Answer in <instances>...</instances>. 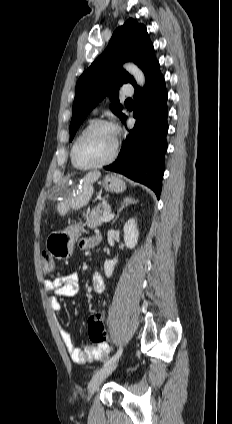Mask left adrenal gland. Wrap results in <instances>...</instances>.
Returning <instances> with one entry per match:
<instances>
[{"mask_svg": "<svg viewBox=\"0 0 232 424\" xmlns=\"http://www.w3.org/2000/svg\"><path fill=\"white\" fill-rule=\"evenodd\" d=\"M138 203V200H135V199H133V198H131V197H125L124 199H123V202H122V204H121V207L119 208V210H118V212H117V215H116V217L113 219V221H112V224H114L115 222H116V220L119 218V215H120V213H121V211L125 208V207H128L129 205H132V204H137Z\"/></svg>", "mask_w": 232, "mask_h": 424, "instance_id": "left-adrenal-gland-1", "label": "left adrenal gland"}]
</instances>
